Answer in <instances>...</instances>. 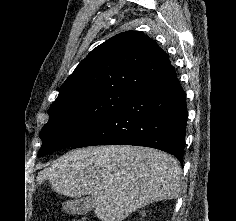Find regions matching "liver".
Returning a JSON list of instances; mask_svg holds the SVG:
<instances>
[{
    "mask_svg": "<svg viewBox=\"0 0 236 221\" xmlns=\"http://www.w3.org/2000/svg\"><path fill=\"white\" fill-rule=\"evenodd\" d=\"M178 160L140 146H96L71 150L38 173L58 194L91 195L101 221H122L152 202L171 200L181 189Z\"/></svg>",
    "mask_w": 236,
    "mask_h": 221,
    "instance_id": "obj_1",
    "label": "liver"
}]
</instances>
